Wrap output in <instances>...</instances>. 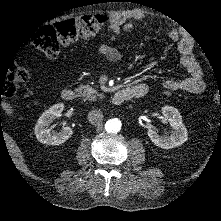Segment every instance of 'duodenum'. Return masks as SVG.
<instances>
[{
  "mask_svg": "<svg viewBox=\"0 0 221 221\" xmlns=\"http://www.w3.org/2000/svg\"><path fill=\"white\" fill-rule=\"evenodd\" d=\"M147 89L145 86H135L116 91L112 96V102L115 105H121L132 98L142 97L145 95ZM62 98L65 101H74L78 98V92L74 89H65L62 91Z\"/></svg>",
  "mask_w": 221,
  "mask_h": 221,
  "instance_id": "duodenum-1",
  "label": "duodenum"
}]
</instances>
